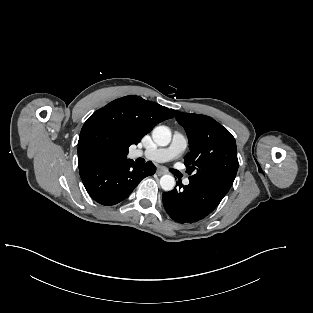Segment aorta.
<instances>
[{
    "instance_id": "aorta-1",
    "label": "aorta",
    "mask_w": 313,
    "mask_h": 313,
    "mask_svg": "<svg viewBox=\"0 0 313 313\" xmlns=\"http://www.w3.org/2000/svg\"><path fill=\"white\" fill-rule=\"evenodd\" d=\"M152 138L157 145L167 146L171 141V131L167 126H157L153 129ZM160 186L165 191H171L175 186V178L163 175L160 178Z\"/></svg>"
}]
</instances>
